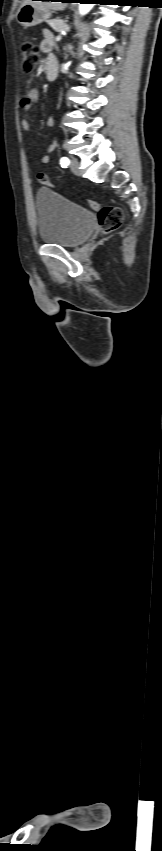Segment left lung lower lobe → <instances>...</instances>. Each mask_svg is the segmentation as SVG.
<instances>
[{
  "label": "left lung lower lobe",
  "mask_w": 162,
  "mask_h": 851,
  "mask_svg": "<svg viewBox=\"0 0 162 851\" xmlns=\"http://www.w3.org/2000/svg\"><path fill=\"white\" fill-rule=\"evenodd\" d=\"M106 0H81V3H99L105 2ZM62 2H70V0H62Z\"/></svg>",
  "instance_id": "obj_1"
}]
</instances>
